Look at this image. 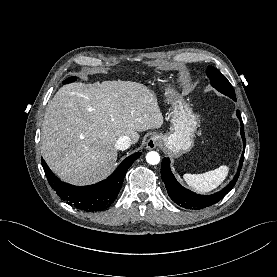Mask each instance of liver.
I'll return each instance as SVG.
<instances>
[{"label":"liver","mask_w":277,"mask_h":277,"mask_svg":"<svg viewBox=\"0 0 277 277\" xmlns=\"http://www.w3.org/2000/svg\"><path fill=\"white\" fill-rule=\"evenodd\" d=\"M163 115L156 94L132 81L70 83L48 103L41 134L42 155L63 181L89 185L106 178L117 160L115 143L158 129Z\"/></svg>","instance_id":"6515ba94"}]
</instances>
